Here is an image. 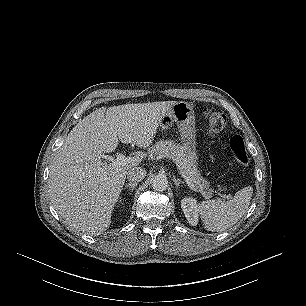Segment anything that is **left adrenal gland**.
<instances>
[{
  "label": "left adrenal gland",
  "instance_id": "a2214340",
  "mask_svg": "<svg viewBox=\"0 0 306 306\" xmlns=\"http://www.w3.org/2000/svg\"><path fill=\"white\" fill-rule=\"evenodd\" d=\"M173 181H174V184L176 185V188H179V185L184 183L183 181H181L179 178H176L175 176L173 177Z\"/></svg>",
  "mask_w": 306,
  "mask_h": 306
}]
</instances>
